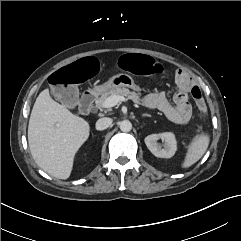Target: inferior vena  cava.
<instances>
[{
  "label": "inferior vena cava",
  "instance_id": "602c4592",
  "mask_svg": "<svg viewBox=\"0 0 241 241\" xmlns=\"http://www.w3.org/2000/svg\"><path fill=\"white\" fill-rule=\"evenodd\" d=\"M112 123V119L108 117H103L97 120L96 122V129L97 130H105L107 129Z\"/></svg>",
  "mask_w": 241,
  "mask_h": 241
}]
</instances>
